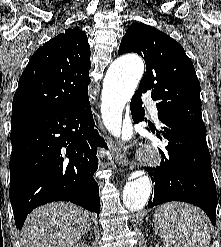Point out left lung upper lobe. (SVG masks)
Instances as JSON below:
<instances>
[{
  "instance_id": "1",
  "label": "left lung upper lobe",
  "mask_w": 221,
  "mask_h": 247,
  "mask_svg": "<svg viewBox=\"0 0 221 247\" xmlns=\"http://www.w3.org/2000/svg\"><path fill=\"white\" fill-rule=\"evenodd\" d=\"M134 52L145 60L146 73L138 91L151 90L159 118L204 125L200 83L182 46L167 34L142 23H133L123 36L118 54Z\"/></svg>"
}]
</instances>
